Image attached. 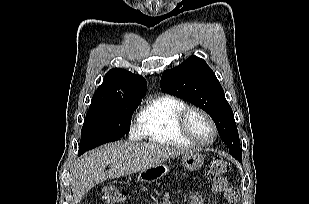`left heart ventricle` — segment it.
<instances>
[{
    "instance_id": "b2bd125f",
    "label": "left heart ventricle",
    "mask_w": 309,
    "mask_h": 204,
    "mask_svg": "<svg viewBox=\"0 0 309 204\" xmlns=\"http://www.w3.org/2000/svg\"><path fill=\"white\" fill-rule=\"evenodd\" d=\"M189 128L199 141H208L212 137V129L208 121L199 113L193 112L189 116Z\"/></svg>"
}]
</instances>
